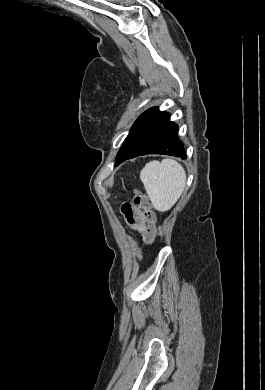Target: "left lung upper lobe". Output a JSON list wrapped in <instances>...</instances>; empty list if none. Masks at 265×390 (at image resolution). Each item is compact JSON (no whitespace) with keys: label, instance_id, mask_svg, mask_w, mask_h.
<instances>
[{"label":"left lung upper lobe","instance_id":"obj_1","mask_svg":"<svg viewBox=\"0 0 265 390\" xmlns=\"http://www.w3.org/2000/svg\"><path fill=\"white\" fill-rule=\"evenodd\" d=\"M131 130H132V128H131ZM131 130H130V132H131ZM129 135H130V133L128 134L127 138H126L125 141L123 142L122 147L120 148V150H119V152H118V154H117V157H118V155H119L121 149L124 147V145H125V143H126L128 137H129ZM117 157H116V159H117Z\"/></svg>","mask_w":265,"mask_h":390}]
</instances>
